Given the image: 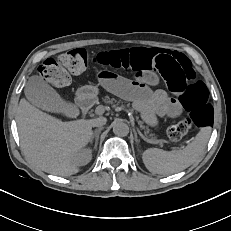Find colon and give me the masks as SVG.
<instances>
[{"mask_svg":"<svg viewBox=\"0 0 231 231\" xmlns=\"http://www.w3.org/2000/svg\"><path fill=\"white\" fill-rule=\"evenodd\" d=\"M89 61L130 71L142 79L162 78L178 94L188 116L167 130L171 141L181 140L192 128L206 127L213 121V106L206 85L195 80L190 60L181 53L159 48H130L103 51L94 56L74 49L58 59L48 58L39 67L42 78L52 86H66L73 76L82 74Z\"/></svg>","mask_w":231,"mask_h":231,"instance_id":"colon-1","label":"colon"}]
</instances>
